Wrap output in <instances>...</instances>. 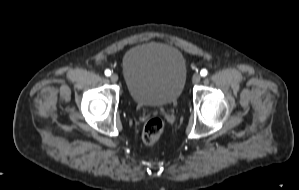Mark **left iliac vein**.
<instances>
[{
    "instance_id": "left-iliac-vein-1",
    "label": "left iliac vein",
    "mask_w": 299,
    "mask_h": 190,
    "mask_svg": "<svg viewBox=\"0 0 299 190\" xmlns=\"http://www.w3.org/2000/svg\"><path fill=\"white\" fill-rule=\"evenodd\" d=\"M200 80H201V76H200V74H199V73H195V74L193 75V77H192V82H193L194 84H197V83L200 82Z\"/></svg>"
}]
</instances>
